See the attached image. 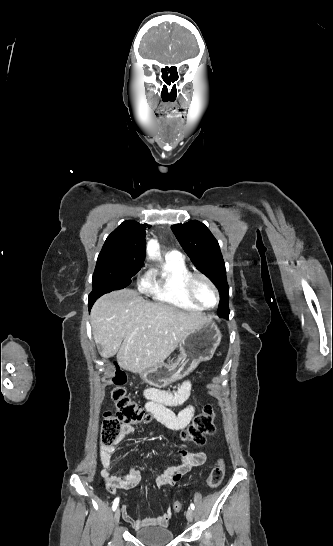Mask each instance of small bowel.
Segmentation results:
<instances>
[{"label":"small bowel","mask_w":333,"mask_h":546,"mask_svg":"<svg viewBox=\"0 0 333 546\" xmlns=\"http://www.w3.org/2000/svg\"><path fill=\"white\" fill-rule=\"evenodd\" d=\"M192 392V383L185 380L174 392H165L156 388H146L143 397L146 400L145 409L156 420L171 429H183L192 420L195 408L189 402ZM188 403L178 413L173 412L170 407ZM134 432V426L124 424L116 444L123 442ZM115 453L114 445H102L99 449L100 475L105 482L107 490L116 494L119 489H133L141 482V472L131 468L127 474L117 475L111 472ZM180 463L174 467H167L157 477L158 487L175 485L192 468L204 464L206 455L202 451H179ZM123 519L132 525L136 530L149 526H165L172 516V510L167 508L162 514L155 517L134 519L125 508L122 510Z\"/></svg>","instance_id":"small-bowel-1"}]
</instances>
